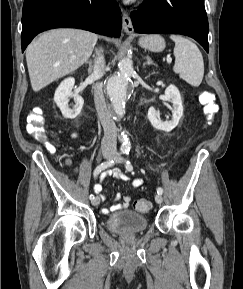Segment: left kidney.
<instances>
[{"mask_svg":"<svg viewBox=\"0 0 243 289\" xmlns=\"http://www.w3.org/2000/svg\"><path fill=\"white\" fill-rule=\"evenodd\" d=\"M165 96L172 103V118L169 121H161L157 118V111L154 107H150L148 110V119L152 126L158 130L170 132L179 123L183 115V105L179 90L174 85H169L165 90Z\"/></svg>","mask_w":243,"mask_h":289,"instance_id":"obj_1","label":"left kidney"}]
</instances>
